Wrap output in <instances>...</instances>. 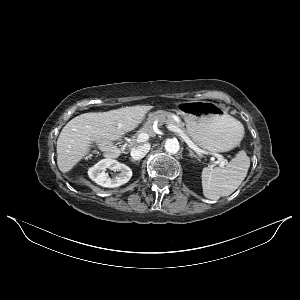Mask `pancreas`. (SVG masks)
Instances as JSON below:
<instances>
[{"label":"pancreas","instance_id":"pancreas-1","mask_svg":"<svg viewBox=\"0 0 300 300\" xmlns=\"http://www.w3.org/2000/svg\"><path fill=\"white\" fill-rule=\"evenodd\" d=\"M155 120H158V123L159 125H162V124H169V125H175L177 126L178 128H180L185 134H188L187 133V130L185 129L184 125L181 123V122H177L175 121L170 114H168L167 112L165 111H162L161 114L153 119V120H148L144 126L137 131L136 133V136L141 134V133H147L149 136H152L154 135V131H153V122ZM136 142V139H132V141L129 143L130 145H133L135 144Z\"/></svg>","mask_w":300,"mask_h":300}]
</instances>
